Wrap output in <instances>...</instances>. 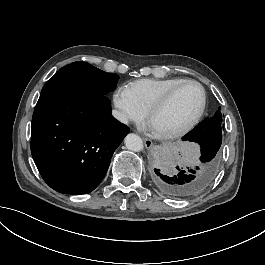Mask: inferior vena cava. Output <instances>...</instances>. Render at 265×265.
<instances>
[{"label": "inferior vena cava", "mask_w": 265, "mask_h": 265, "mask_svg": "<svg viewBox=\"0 0 265 265\" xmlns=\"http://www.w3.org/2000/svg\"><path fill=\"white\" fill-rule=\"evenodd\" d=\"M113 116L124 124H128V119L118 110H113Z\"/></svg>", "instance_id": "602c4592"}]
</instances>
